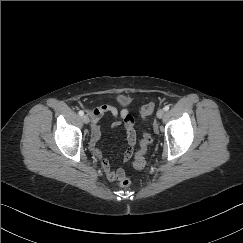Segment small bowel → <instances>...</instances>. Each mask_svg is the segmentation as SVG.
<instances>
[{
    "mask_svg": "<svg viewBox=\"0 0 243 243\" xmlns=\"http://www.w3.org/2000/svg\"><path fill=\"white\" fill-rule=\"evenodd\" d=\"M105 114H109L119 120L112 123L113 128L119 127L120 125L125 127L128 146L124 152V161H128L134 152L136 144L135 119L126 108L118 109L112 105H101L88 110V115L92 123L89 150L100 161L101 169L106 178L109 181H117L124 176L123 169H114L109 160L104 157L102 150L98 147V141L101 137L100 120Z\"/></svg>",
    "mask_w": 243,
    "mask_h": 243,
    "instance_id": "1",
    "label": "small bowel"
}]
</instances>
